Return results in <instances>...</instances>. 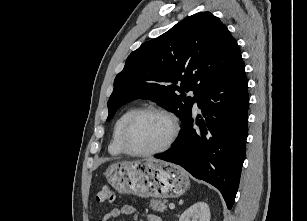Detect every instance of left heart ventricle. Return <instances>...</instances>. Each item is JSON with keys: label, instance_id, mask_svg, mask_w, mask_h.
Here are the masks:
<instances>
[{"label": "left heart ventricle", "instance_id": "left-heart-ventricle-1", "mask_svg": "<svg viewBox=\"0 0 307 221\" xmlns=\"http://www.w3.org/2000/svg\"><path fill=\"white\" fill-rule=\"evenodd\" d=\"M171 125L167 118L158 114H146L133 125L129 145L138 151H149L160 147L169 137Z\"/></svg>", "mask_w": 307, "mask_h": 221}]
</instances>
